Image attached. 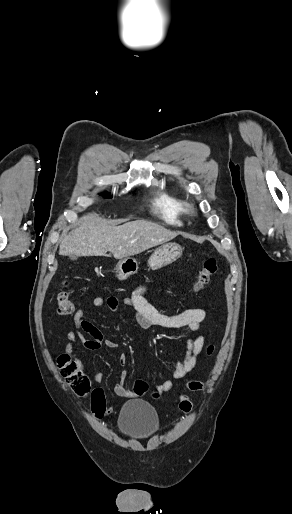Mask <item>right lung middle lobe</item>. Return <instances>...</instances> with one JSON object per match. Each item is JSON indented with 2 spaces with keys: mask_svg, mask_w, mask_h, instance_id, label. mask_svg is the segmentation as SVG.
<instances>
[{
  "mask_svg": "<svg viewBox=\"0 0 292 514\" xmlns=\"http://www.w3.org/2000/svg\"><path fill=\"white\" fill-rule=\"evenodd\" d=\"M101 195H102L103 197H105V198H110V196H109V195H107V194H101Z\"/></svg>",
  "mask_w": 292,
  "mask_h": 514,
  "instance_id": "dd1d6c3e",
  "label": "right lung middle lobe"
}]
</instances>
